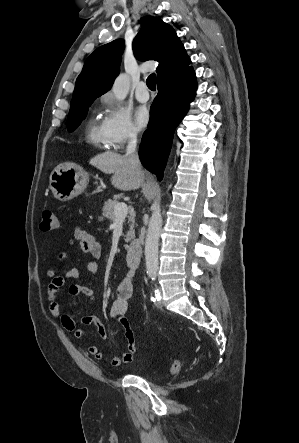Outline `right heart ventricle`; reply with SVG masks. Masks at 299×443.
I'll use <instances>...</instances> for the list:
<instances>
[{"mask_svg":"<svg viewBox=\"0 0 299 443\" xmlns=\"http://www.w3.org/2000/svg\"><path fill=\"white\" fill-rule=\"evenodd\" d=\"M86 138L89 143L97 148L109 147L104 137L101 124L94 118L89 122Z\"/></svg>","mask_w":299,"mask_h":443,"instance_id":"e07e8e85","label":"right heart ventricle"}]
</instances>
